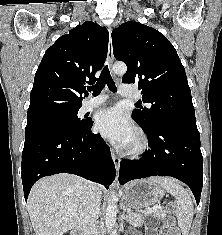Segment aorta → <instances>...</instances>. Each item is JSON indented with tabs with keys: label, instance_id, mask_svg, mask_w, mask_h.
I'll return each mask as SVG.
<instances>
[{
	"label": "aorta",
	"instance_id": "1",
	"mask_svg": "<svg viewBox=\"0 0 222 235\" xmlns=\"http://www.w3.org/2000/svg\"><path fill=\"white\" fill-rule=\"evenodd\" d=\"M113 71L117 75H124L127 71V66L123 62H117L113 65ZM115 186L118 187V183L116 180L112 184V187L115 188ZM118 198L114 192H111L110 200L108 202L106 213H105V224L106 227L111 230L116 223V215L118 212V206H117Z\"/></svg>",
	"mask_w": 222,
	"mask_h": 235
}]
</instances>
